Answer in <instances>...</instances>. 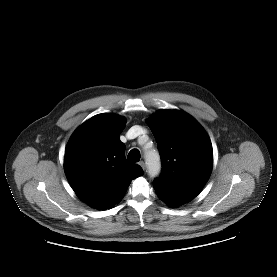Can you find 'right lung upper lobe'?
Masks as SVG:
<instances>
[{
	"instance_id": "obj_1",
	"label": "right lung upper lobe",
	"mask_w": 277,
	"mask_h": 277,
	"mask_svg": "<svg viewBox=\"0 0 277 277\" xmlns=\"http://www.w3.org/2000/svg\"><path fill=\"white\" fill-rule=\"evenodd\" d=\"M125 119L98 114L79 126L65 150L66 177L77 196L89 206L104 210L114 206L141 167L125 158L126 146L119 139Z\"/></svg>"
}]
</instances>
